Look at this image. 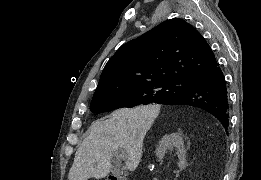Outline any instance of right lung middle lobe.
I'll use <instances>...</instances> for the list:
<instances>
[{"instance_id":"right-lung-middle-lobe-1","label":"right lung middle lobe","mask_w":261,"mask_h":180,"mask_svg":"<svg viewBox=\"0 0 261 180\" xmlns=\"http://www.w3.org/2000/svg\"><path fill=\"white\" fill-rule=\"evenodd\" d=\"M190 81L162 80L117 90L92 99L93 113L107 112L118 106L134 107L140 104H163L184 94Z\"/></svg>"}]
</instances>
